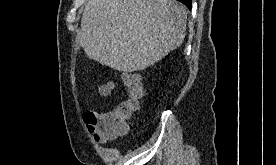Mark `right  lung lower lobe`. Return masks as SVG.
I'll return each mask as SVG.
<instances>
[{"mask_svg": "<svg viewBox=\"0 0 276 165\" xmlns=\"http://www.w3.org/2000/svg\"><path fill=\"white\" fill-rule=\"evenodd\" d=\"M180 2H182L183 4H185L189 9H191L192 4H191V0H178Z\"/></svg>", "mask_w": 276, "mask_h": 165, "instance_id": "right-lung-lower-lobe-1", "label": "right lung lower lobe"}]
</instances>
